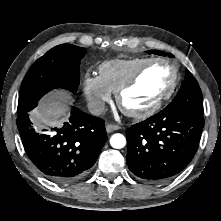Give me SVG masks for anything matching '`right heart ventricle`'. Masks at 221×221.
<instances>
[{
    "label": "right heart ventricle",
    "instance_id": "right-heart-ventricle-1",
    "mask_svg": "<svg viewBox=\"0 0 221 221\" xmlns=\"http://www.w3.org/2000/svg\"><path fill=\"white\" fill-rule=\"evenodd\" d=\"M150 58L112 59L99 66V77L111 92H116L141 65Z\"/></svg>",
    "mask_w": 221,
    "mask_h": 221
}]
</instances>
